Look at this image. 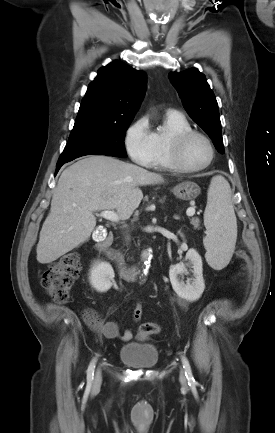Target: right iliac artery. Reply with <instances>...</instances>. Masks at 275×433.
<instances>
[{
	"mask_svg": "<svg viewBox=\"0 0 275 433\" xmlns=\"http://www.w3.org/2000/svg\"><path fill=\"white\" fill-rule=\"evenodd\" d=\"M95 363H96V358H94V359L91 361V363H90V365H89V367H88V369H87V381H88L89 383H91V382L93 381V379H94Z\"/></svg>",
	"mask_w": 275,
	"mask_h": 433,
	"instance_id": "82829eb1",
	"label": "right iliac artery"
}]
</instances>
